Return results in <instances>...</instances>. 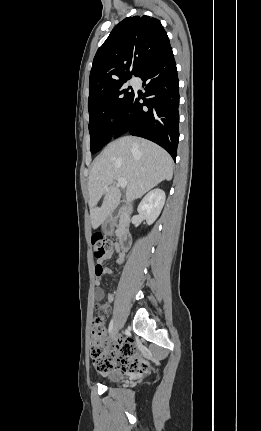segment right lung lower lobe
<instances>
[{"label":"right lung lower lobe","mask_w":261,"mask_h":431,"mask_svg":"<svg viewBox=\"0 0 261 431\" xmlns=\"http://www.w3.org/2000/svg\"><path fill=\"white\" fill-rule=\"evenodd\" d=\"M136 76L142 79L146 92L144 96L134 92L118 120L114 138L126 132L146 138L162 146L175 160L179 142V80L172 48L148 62Z\"/></svg>","instance_id":"98d812e1"}]
</instances>
